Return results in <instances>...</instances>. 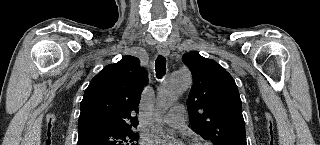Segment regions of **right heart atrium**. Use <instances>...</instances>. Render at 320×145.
<instances>
[{
    "label": "right heart atrium",
    "instance_id": "right-heart-atrium-1",
    "mask_svg": "<svg viewBox=\"0 0 320 145\" xmlns=\"http://www.w3.org/2000/svg\"><path fill=\"white\" fill-rule=\"evenodd\" d=\"M141 144H142V145H148V141L142 140V141H141Z\"/></svg>",
    "mask_w": 320,
    "mask_h": 145
}]
</instances>
